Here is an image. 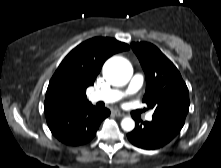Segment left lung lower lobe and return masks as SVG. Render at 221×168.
Segmentation results:
<instances>
[{
	"label": "left lung lower lobe",
	"mask_w": 221,
	"mask_h": 168,
	"mask_svg": "<svg viewBox=\"0 0 221 168\" xmlns=\"http://www.w3.org/2000/svg\"><path fill=\"white\" fill-rule=\"evenodd\" d=\"M135 129L127 134L128 140L135 146L153 150L169 143L179 132L180 128L161 120L141 122L135 119Z\"/></svg>",
	"instance_id": "0a47b994"
}]
</instances>
